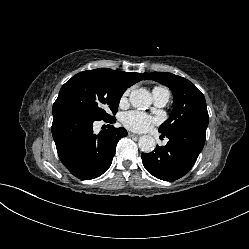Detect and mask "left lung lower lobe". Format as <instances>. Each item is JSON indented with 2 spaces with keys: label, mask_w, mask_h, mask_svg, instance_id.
<instances>
[{
  "label": "left lung lower lobe",
  "mask_w": 249,
  "mask_h": 249,
  "mask_svg": "<svg viewBox=\"0 0 249 249\" xmlns=\"http://www.w3.org/2000/svg\"><path fill=\"white\" fill-rule=\"evenodd\" d=\"M166 137L169 141L165 146L157 145L151 153H142L141 158L151 175L164 181H174L184 176L195 164L205 143L206 129L186 128Z\"/></svg>",
  "instance_id": "obj_1"
}]
</instances>
